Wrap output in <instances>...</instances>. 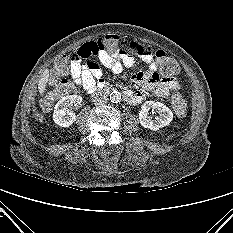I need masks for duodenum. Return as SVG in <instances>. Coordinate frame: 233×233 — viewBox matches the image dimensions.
<instances>
[{
    "label": "duodenum",
    "instance_id": "obj_1",
    "mask_svg": "<svg viewBox=\"0 0 233 233\" xmlns=\"http://www.w3.org/2000/svg\"><path fill=\"white\" fill-rule=\"evenodd\" d=\"M114 90L113 87L108 86V85H102L99 88L96 89V94L103 96V95H108Z\"/></svg>",
    "mask_w": 233,
    "mask_h": 233
}]
</instances>
